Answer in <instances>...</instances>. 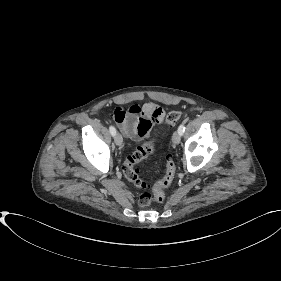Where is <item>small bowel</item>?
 <instances>
[{"instance_id": "c3829d8e", "label": "small bowel", "mask_w": 281, "mask_h": 281, "mask_svg": "<svg viewBox=\"0 0 281 281\" xmlns=\"http://www.w3.org/2000/svg\"><path fill=\"white\" fill-rule=\"evenodd\" d=\"M135 107L136 111H128L121 120L116 122L128 139L140 142L148 136L155 124L162 122L164 111L151 102Z\"/></svg>"}]
</instances>
